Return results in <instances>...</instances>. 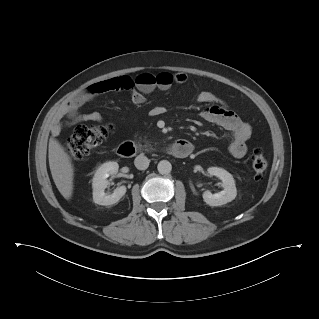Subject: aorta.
I'll list each match as a JSON object with an SVG mask.
<instances>
[{"label":"aorta","instance_id":"obj_1","mask_svg":"<svg viewBox=\"0 0 319 319\" xmlns=\"http://www.w3.org/2000/svg\"><path fill=\"white\" fill-rule=\"evenodd\" d=\"M157 169H158V172L162 175L169 174L172 170V165L169 161L162 160L158 163Z\"/></svg>","mask_w":319,"mask_h":319}]
</instances>
